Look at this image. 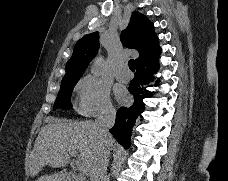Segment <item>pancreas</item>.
Here are the masks:
<instances>
[{
	"label": "pancreas",
	"mask_w": 228,
	"mask_h": 181,
	"mask_svg": "<svg viewBox=\"0 0 228 181\" xmlns=\"http://www.w3.org/2000/svg\"><path fill=\"white\" fill-rule=\"evenodd\" d=\"M79 181H86V177H84V175H80Z\"/></svg>",
	"instance_id": "cf45deb5"
}]
</instances>
